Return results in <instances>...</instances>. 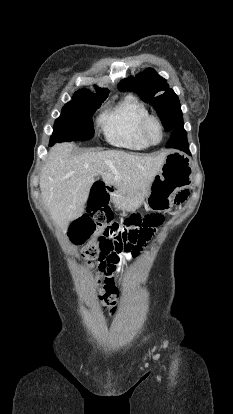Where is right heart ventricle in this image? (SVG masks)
I'll list each match as a JSON object with an SVG mask.
<instances>
[{
    "instance_id": "1",
    "label": "right heart ventricle",
    "mask_w": 233,
    "mask_h": 414,
    "mask_svg": "<svg viewBox=\"0 0 233 414\" xmlns=\"http://www.w3.org/2000/svg\"><path fill=\"white\" fill-rule=\"evenodd\" d=\"M147 115L149 111L140 100L127 96L103 114L100 125L112 145L141 150L150 145L141 131V123Z\"/></svg>"
}]
</instances>
